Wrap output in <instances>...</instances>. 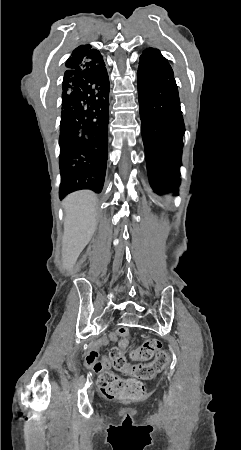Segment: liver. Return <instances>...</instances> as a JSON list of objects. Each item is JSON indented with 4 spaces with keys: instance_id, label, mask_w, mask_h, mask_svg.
<instances>
[{
    "instance_id": "obj_1",
    "label": "liver",
    "mask_w": 241,
    "mask_h": 450,
    "mask_svg": "<svg viewBox=\"0 0 241 450\" xmlns=\"http://www.w3.org/2000/svg\"><path fill=\"white\" fill-rule=\"evenodd\" d=\"M96 194L90 190L73 192L63 200L66 218L62 246L63 270H72L79 254L89 244L97 224Z\"/></svg>"
}]
</instances>
